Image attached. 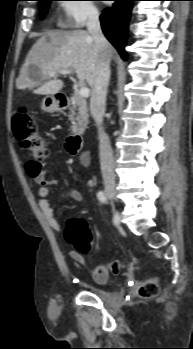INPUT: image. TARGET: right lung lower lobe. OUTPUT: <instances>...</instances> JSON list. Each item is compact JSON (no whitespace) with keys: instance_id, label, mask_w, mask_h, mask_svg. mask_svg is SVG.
Returning a JSON list of instances; mask_svg holds the SVG:
<instances>
[{"instance_id":"98d812e1","label":"right lung lower lobe","mask_w":193,"mask_h":349,"mask_svg":"<svg viewBox=\"0 0 193 349\" xmlns=\"http://www.w3.org/2000/svg\"><path fill=\"white\" fill-rule=\"evenodd\" d=\"M133 1L136 0H115L113 6L105 9L100 16L105 36L117 48L123 59L127 56L124 47Z\"/></svg>"}]
</instances>
